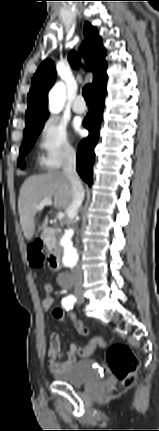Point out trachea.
<instances>
[{
	"label": "trachea",
	"mask_w": 159,
	"mask_h": 431,
	"mask_svg": "<svg viewBox=\"0 0 159 431\" xmlns=\"http://www.w3.org/2000/svg\"><path fill=\"white\" fill-rule=\"evenodd\" d=\"M83 96L87 104H93V87L87 84L83 88Z\"/></svg>",
	"instance_id": "1"
}]
</instances>
